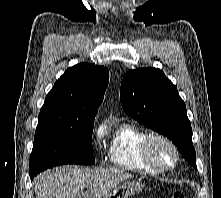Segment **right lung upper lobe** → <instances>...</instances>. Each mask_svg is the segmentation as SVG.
<instances>
[{
	"label": "right lung upper lobe",
	"mask_w": 221,
	"mask_h": 198,
	"mask_svg": "<svg viewBox=\"0 0 221 198\" xmlns=\"http://www.w3.org/2000/svg\"><path fill=\"white\" fill-rule=\"evenodd\" d=\"M108 82L109 71L103 66L81 63L68 68L47 94L37 128L93 127Z\"/></svg>",
	"instance_id": "obj_1"
}]
</instances>
